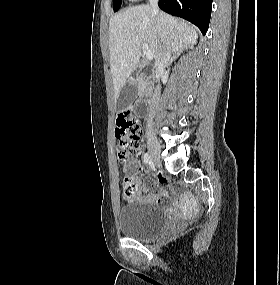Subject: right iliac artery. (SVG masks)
<instances>
[{"instance_id": "right-iliac-artery-1", "label": "right iliac artery", "mask_w": 280, "mask_h": 285, "mask_svg": "<svg viewBox=\"0 0 280 285\" xmlns=\"http://www.w3.org/2000/svg\"><path fill=\"white\" fill-rule=\"evenodd\" d=\"M143 159H144V163H145V164H148L149 159H150L148 153H145V154H144V158H143Z\"/></svg>"}]
</instances>
